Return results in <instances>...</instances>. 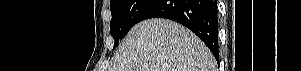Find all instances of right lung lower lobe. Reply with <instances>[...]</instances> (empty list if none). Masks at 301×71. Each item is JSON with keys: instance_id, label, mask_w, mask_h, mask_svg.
<instances>
[{"instance_id": "right-lung-lower-lobe-1", "label": "right lung lower lobe", "mask_w": 301, "mask_h": 71, "mask_svg": "<svg viewBox=\"0 0 301 71\" xmlns=\"http://www.w3.org/2000/svg\"><path fill=\"white\" fill-rule=\"evenodd\" d=\"M149 18H167L186 26L219 61L216 0H155L140 16V21Z\"/></svg>"}]
</instances>
